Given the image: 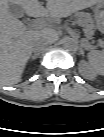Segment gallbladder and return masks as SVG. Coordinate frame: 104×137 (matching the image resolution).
Here are the masks:
<instances>
[{
  "mask_svg": "<svg viewBox=\"0 0 104 137\" xmlns=\"http://www.w3.org/2000/svg\"><path fill=\"white\" fill-rule=\"evenodd\" d=\"M9 12L17 17V18H21L25 16V12L23 10V8L20 5H16V4H9ZM24 21L28 24L29 23V19L26 18L24 19Z\"/></svg>",
  "mask_w": 104,
  "mask_h": 137,
  "instance_id": "1",
  "label": "gallbladder"
}]
</instances>
